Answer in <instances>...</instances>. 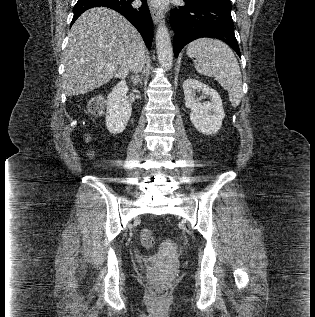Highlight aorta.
Masks as SVG:
<instances>
[{"instance_id": "1", "label": "aorta", "mask_w": 315, "mask_h": 317, "mask_svg": "<svg viewBox=\"0 0 315 317\" xmlns=\"http://www.w3.org/2000/svg\"><path fill=\"white\" fill-rule=\"evenodd\" d=\"M156 49L161 67L170 70L173 64V49L165 22H161L157 28Z\"/></svg>"}]
</instances>
